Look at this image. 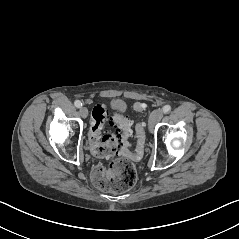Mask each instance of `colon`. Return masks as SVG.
<instances>
[{"instance_id": "1", "label": "colon", "mask_w": 239, "mask_h": 239, "mask_svg": "<svg viewBox=\"0 0 239 239\" xmlns=\"http://www.w3.org/2000/svg\"><path fill=\"white\" fill-rule=\"evenodd\" d=\"M135 110L143 112L146 105L136 103ZM110 124L116 128L104 135L103 128ZM132 135L131 126L123 115L111 117L105 106L96 105L91 114L89 143L91 151L98 157L117 155L106 166H97L92 172V180L97 188L105 192L122 193L132 188L137 180V172L131 160L139 159L145 146L144 123L135 126L136 148L132 153L128 149V140Z\"/></svg>"}]
</instances>
